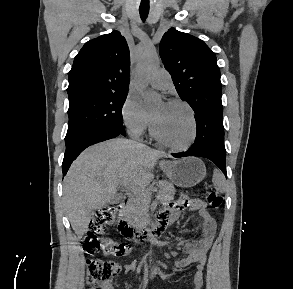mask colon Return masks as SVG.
Masks as SVG:
<instances>
[{
  "instance_id": "obj_1",
  "label": "colon",
  "mask_w": 293,
  "mask_h": 289,
  "mask_svg": "<svg viewBox=\"0 0 293 289\" xmlns=\"http://www.w3.org/2000/svg\"><path fill=\"white\" fill-rule=\"evenodd\" d=\"M206 200L213 209H220L223 198L216 191H207ZM118 205L100 210L90 221L87 232L82 239V247L91 256L87 260V284L90 289H111L115 277L121 267L114 261H106L93 256L103 249L107 254L125 256L131 247L125 243L103 239L102 235L107 226L111 225L118 212Z\"/></svg>"
}]
</instances>
